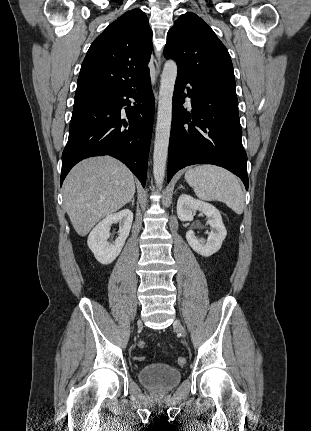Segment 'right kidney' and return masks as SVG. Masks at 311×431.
Segmentation results:
<instances>
[{"instance_id": "ca27d5eb", "label": "right kidney", "mask_w": 311, "mask_h": 431, "mask_svg": "<svg viewBox=\"0 0 311 431\" xmlns=\"http://www.w3.org/2000/svg\"><path fill=\"white\" fill-rule=\"evenodd\" d=\"M117 221L120 223L118 237H116L113 243H110V241H107L110 235V225L117 223ZM132 221L133 214L131 210H121L117 214H110V216L104 217L102 221H99L93 227L88 235L87 243L100 263H111V261L116 259L125 243V239L129 235Z\"/></svg>"}]
</instances>
